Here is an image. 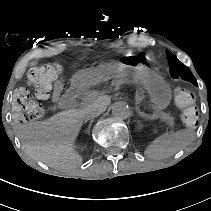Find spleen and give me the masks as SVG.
<instances>
[{
    "label": "spleen",
    "mask_w": 211,
    "mask_h": 211,
    "mask_svg": "<svg viewBox=\"0 0 211 211\" xmlns=\"http://www.w3.org/2000/svg\"><path fill=\"white\" fill-rule=\"evenodd\" d=\"M194 138V131L189 129L163 134L147 146L144 154L152 159L167 158L180 151L183 147L190 145Z\"/></svg>",
    "instance_id": "3e777b00"
}]
</instances>
